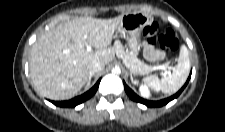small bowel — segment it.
Segmentation results:
<instances>
[{"mask_svg":"<svg viewBox=\"0 0 225 132\" xmlns=\"http://www.w3.org/2000/svg\"><path fill=\"white\" fill-rule=\"evenodd\" d=\"M142 51L145 59L149 62H158L163 58V54L150 43L143 42Z\"/></svg>","mask_w":225,"mask_h":132,"instance_id":"c3829d8e","label":"small bowel"}]
</instances>
